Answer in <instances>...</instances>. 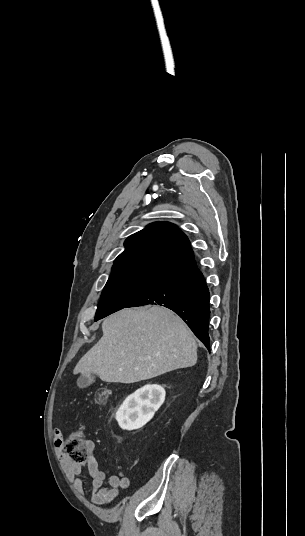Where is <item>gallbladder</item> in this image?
Instances as JSON below:
<instances>
[{"label":"gallbladder","instance_id":"gallbladder-1","mask_svg":"<svg viewBox=\"0 0 305 536\" xmlns=\"http://www.w3.org/2000/svg\"><path fill=\"white\" fill-rule=\"evenodd\" d=\"M93 382H95V374H89V376H80L76 384L78 388H86V386H90Z\"/></svg>","mask_w":305,"mask_h":536}]
</instances>
